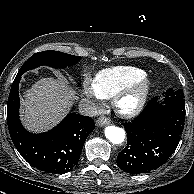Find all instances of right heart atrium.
<instances>
[{
    "mask_svg": "<svg viewBox=\"0 0 194 194\" xmlns=\"http://www.w3.org/2000/svg\"><path fill=\"white\" fill-rule=\"evenodd\" d=\"M81 91L86 98H88L94 102H98L100 99L99 95L97 94V92L93 86V83L88 78H84L82 80Z\"/></svg>",
    "mask_w": 194,
    "mask_h": 194,
    "instance_id": "right-heart-atrium-1",
    "label": "right heart atrium"
}]
</instances>
